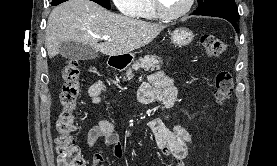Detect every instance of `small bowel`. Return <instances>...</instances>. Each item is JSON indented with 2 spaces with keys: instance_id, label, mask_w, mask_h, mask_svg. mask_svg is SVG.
<instances>
[{
  "instance_id": "obj_1",
  "label": "small bowel",
  "mask_w": 277,
  "mask_h": 166,
  "mask_svg": "<svg viewBox=\"0 0 277 166\" xmlns=\"http://www.w3.org/2000/svg\"><path fill=\"white\" fill-rule=\"evenodd\" d=\"M104 91L102 81L93 83L89 88V96L95 104L101 101ZM139 98L144 103L161 102L166 107H173L177 100V89L173 85L170 77L164 72L157 71L150 75L149 83L143 85L139 91ZM149 128L153 133L157 147L162 153L170 157L175 166H185L184 159L188 155L191 135L183 125H176L170 129L160 118H154L149 122ZM104 139L107 145L112 148L115 157H122V146L119 143L118 134L113 122L106 118L98 120L87 133V146L94 147L99 139ZM104 156L100 152L93 154L92 160L95 166L101 165Z\"/></svg>"
}]
</instances>
